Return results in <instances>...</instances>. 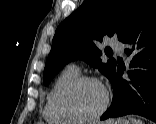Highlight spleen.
Here are the masks:
<instances>
[{"label":"spleen","instance_id":"obj_1","mask_svg":"<svg viewBox=\"0 0 156 124\" xmlns=\"http://www.w3.org/2000/svg\"><path fill=\"white\" fill-rule=\"evenodd\" d=\"M127 124H144L141 120L135 119V118H130L129 122Z\"/></svg>","mask_w":156,"mask_h":124}]
</instances>
